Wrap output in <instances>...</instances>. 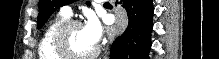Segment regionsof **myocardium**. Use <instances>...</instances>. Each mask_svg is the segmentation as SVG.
Returning a JSON list of instances; mask_svg holds the SVG:
<instances>
[{
    "mask_svg": "<svg viewBox=\"0 0 219 59\" xmlns=\"http://www.w3.org/2000/svg\"><path fill=\"white\" fill-rule=\"evenodd\" d=\"M74 26H82L81 22L75 19H68L62 23L54 36V49L64 59H93L98 56L100 48L98 45L93 51L87 54H75L68 46V33Z\"/></svg>",
    "mask_w": 219,
    "mask_h": 59,
    "instance_id": "f54148a6",
    "label": "myocardium"
}]
</instances>
